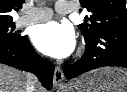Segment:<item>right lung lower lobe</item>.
Instances as JSON below:
<instances>
[{
    "mask_svg": "<svg viewBox=\"0 0 127 92\" xmlns=\"http://www.w3.org/2000/svg\"><path fill=\"white\" fill-rule=\"evenodd\" d=\"M0 63L35 73L45 88H52L54 65L35 52L27 36L20 42L0 41Z\"/></svg>",
    "mask_w": 127,
    "mask_h": 92,
    "instance_id": "obj_1",
    "label": "right lung lower lobe"
}]
</instances>
